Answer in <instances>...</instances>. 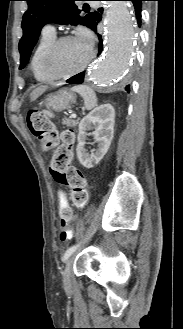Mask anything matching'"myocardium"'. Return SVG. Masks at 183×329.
<instances>
[{
    "mask_svg": "<svg viewBox=\"0 0 183 329\" xmlns=\"http://www.w3.org/2000/svg\"><path fill=\"white\" fill-rule=\"evenodd\" d=\"M75 37L73 35H63L60 36L58 38H56L52 44L49 46L45 57H44V68L45 71L47 72V74L50 76V78L52 80H60V79H66V78H70L72 76H75L79 73H81L82 71H84L88 65L91 63V61L93 60L94 56H95V52L93 50L92 47H90V53L89 56L87 58V60L85 61V63L79 67L76 70H73L71 72H67V73H56L53 70V60L54 57L59 49V47L68 40L74 39Z\"/></svg>",
    "mask_w": 183,
    "mask_h": 329,
    "instance_id": "obj_1",
    "label": "myocardium"
}]
</instances>
